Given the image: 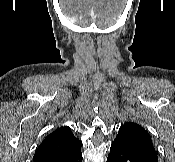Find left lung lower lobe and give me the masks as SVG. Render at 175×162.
<instances>
[{
	"mask_svg": "<svg viewBox=\"0 0 175 162\" xmlns=\"http://www.w3.org/2000/svg\"><path fill=\"white\" fill-rule=\"evenodd\" d=\"M107 162H158V157L152 143L116 137Z\"/></svg>",
	"mask_w": 175,
	"mask_h": 162,
	"instance_id": "obj_1",
	"label": "left lung lower lobe"
}]
</instances>
